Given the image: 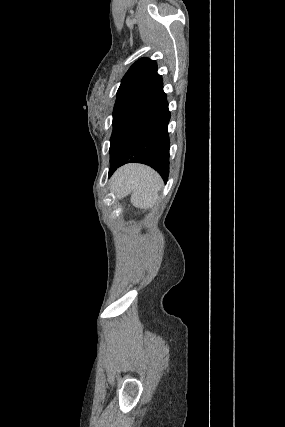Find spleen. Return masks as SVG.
Returning <instances> with one entry per match:
<instances>
[{"mask_svg": "<svg viewBox=\"0 0 285 427\" xmlns=\"http://www.w3.org/2000/svg\"><path fill=\"white\" fill-rule=\"evenodd\" d=\"M162 179L157 172L144 165H129L115 176L114 189L131 192L134 206L144 209L152 208L158 198Z\"/></svg>", "mask_w": 285, "mask_h": 427, "instance_id": "3e777b00", "label": "spleen"}]
</instances>
